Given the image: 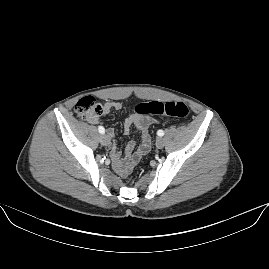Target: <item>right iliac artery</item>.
I'll list each match as a JSON object with an SVG mask.
<instances>
[{
  "instance_id": "1",
  "label": "right iliac artery",
  "mask_w": 269,
  "mask_h": 269,
  "mask_svg": "<svg viewBox=\"0 0 269 269\" xmlns=\"http://www.w3.org/2000/svg\"><path fill=\"white\" fill-rule=\"evenodd\" d=\"M98 130H99V132H100L101 134H104V133H105V129H104V127H102V126H99Z\"/></svg>"
}]
</instances>
